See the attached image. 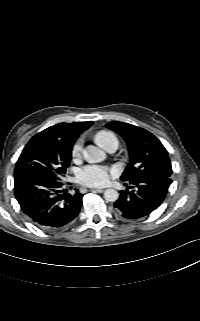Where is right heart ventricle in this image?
<instances>
[{
    "label": "right heart ventricle",
    "mask_w": 200,
    "mask_h": 321,
    "mask_svg": "<svg viewBox=\"0 0 200 321\" xmlns=\"http://www.w3.org/2000/svg\"><path fill=\"white\" fill-rule=\"evenodd\" d=\"M95 140L104 148L118 144L116 136L109 131H100L96 134Z\"/></svg>",
    "instance_id": "e07e8e85"
}]
</instances>
